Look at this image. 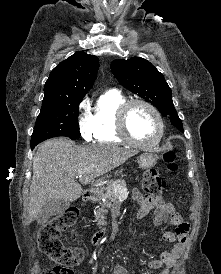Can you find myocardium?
Masks as SVG:
<instances>
[{"instance_id":"f54148a6","label":"myocardium","mask_w":221,"mask_h":274,"mask_svg":"<svg viewBox=\"0 0 221 274\" xmlns=\"http://www.w3.org/2000/svg\"><path fill=\"white\" fill-rule=\"evenodd\" d=\"M134 105H143L147 107L154 114L157 120L158 127H159L158 134L155 140L152 141L151 143L139 142L136 139H134L129 132L128 114ZM117 129H118L119 135L123 138V140L126 141V143L141 149H150L158 145L161 139L163 138L165 125H164V121L161 116V113L151 102L145 99L136 98V99L127 100L120 106L117 114Z\"/></svg>"}]
</instances>
